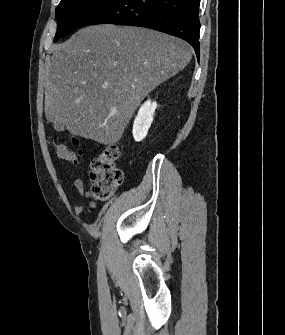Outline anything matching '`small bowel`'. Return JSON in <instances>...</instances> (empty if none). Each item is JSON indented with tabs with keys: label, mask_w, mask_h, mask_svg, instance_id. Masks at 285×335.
Returning <instances> with one entry per match:
<instances>
[{
	"label": "small bowel",
	"mask_w": 285,
	"mask_h": 335,
	"mask_svg": "<svg viewBox=\"0 0 285 335\" xmlns=\"http://www.w3.org/2000/svg\"><path fill=\"white\" fill-rule=\"evenodd\" d=\"M76 187L78 188V190H79L80 192H83V191H84L83 183H82L81 180H77V181H76ZM91 206H92V207L94 206V203H93V202L91 203ZM75 211H76L77 214H80V213L82 212V207H76Z\"/></svg>",
	"instance_id": "small-bowel-1"
}]
</instances>
